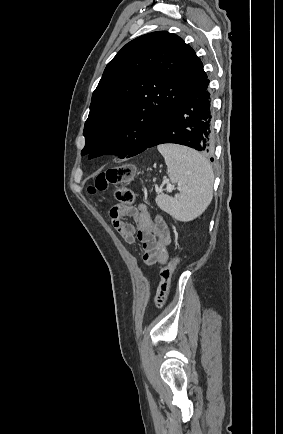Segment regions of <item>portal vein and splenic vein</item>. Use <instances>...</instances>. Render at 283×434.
<instances>
[{"mask_svg": "<svg viewBox=\"0 0 283 434\" xmlns=\"http://www.w3.org/2000/svg\"><path fill=\"white\" fill-rule=\"evenodd\" d=\"M174 187L171 184H167V190L171 191Z\"/></svg>", "mask_w": 283, "mask_h": 434, "instance_id": "1", "label": "portal vein and splenic vein"}]
</instances>
